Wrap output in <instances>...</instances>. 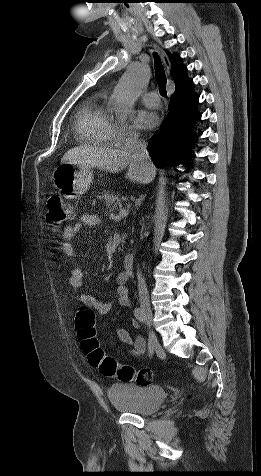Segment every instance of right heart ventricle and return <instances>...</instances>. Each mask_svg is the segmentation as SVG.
Returning a JSON list of instances; mask_svg holds the SVG:
<instances>
[{
    "mask_svg": "<svg viewBox=\"0 0 261 476\" xmlns=\"http://www.w3.org/2000/svg\"><path fill=\"white\" fill-rule=\"evenodd\" d=\"M114 127L105 104V95L95 94L89 97L77 118V130L81 140L88 144H111Z\"/></svg>",
    "mask_w": 261,
    "mask_h": 476,
    "instance_id": "1",
    "label": "right heart ventricle"
}]
</instances>
